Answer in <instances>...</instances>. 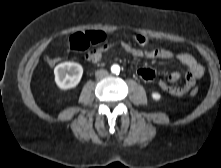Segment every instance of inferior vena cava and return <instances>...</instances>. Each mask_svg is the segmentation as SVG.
I'll use <instances>...</instances> for the list:
<instances>
[{
    "label": "inferior vena cava",
    "mask_w": 221,
    "mask_h": 168,
    "mask_svg": "<svg viewBox=\"0 0 221 168\" xmlns=\"http://www.w3.org/2000/svg\"><path fill=\"white\" fill-rule=\"evenodd\" d=\"M107 75H108V71L104 70V69L97 70L95 73V76L98 79H102V78L106 77Z\"/></svg>",
    "instance_id": "inferior-vena-cava-1"
}]
</instances>
